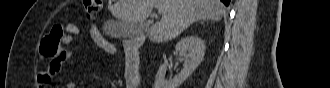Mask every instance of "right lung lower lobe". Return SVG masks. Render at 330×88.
Segmentation results:
<instances>
[{
    "label": "right lung lower lobe",
    "instance_id": "obj_1",
    "mask_svg": "<svg viewBox=\"0 0 330 88\" xmlns=\"http://www.w3.org/2000/svg\"><path fill=\"white\" fill-rule=\"evenodd\" d=\"M226 6H229L230 0H221Z\"/></svg>",
    "mask_w": 330,
    "mask_h": 88
}]
</instances>
